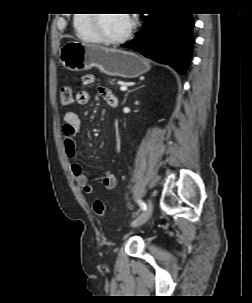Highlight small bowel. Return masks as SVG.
<instances>
[{
    "instance_id": "obj_1",
    "label": "small bowel",
    "mask_w": 252,
    "mask_h": 303,
    "mask_svg": "<svg viewBox=\"0 0 252 303\" xmlns=\"http://www.w3.org/2000/svg\"><path fill=\"white\" fill-rule=\"evenodd\" d=\"M94 82L95 76L93 74H85L82 76L81 83L83 87H87ZM98 92L109 106H116L117 98L109 88L99 86ZM89 97V92L86 89H82L77 92L75 102L77 105H86L89 101ZM81 130L82 123L78 115L72 110L67 111L64 115L63 123V148L71 159H75L77 156L76 136L81 132ZM71 172L82 190L86 194H91L94 190L93 184L89 181L88 176L83 172L81 165L77 162H72ZM100 183L104 189L112 190L117 184L116 175L112 172H106L101 177Z\"/></svg>"
}]
</instances>
